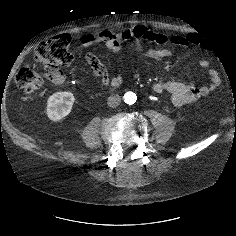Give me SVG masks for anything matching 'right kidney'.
<instances>
[{
	"mask_svg": "<svg viewBox=\"0 0 236 236\" xmlns=\"http://www.w3.org/2000/svg\"><path fill=\"white\" fill-rule=\"evenodd\" d=\"M75 97L73 93L64 91L52 94L47 100L46 113L50 120L59 121L72 110Z\"/></svg>",
	"mask_w": 236,
	"mask_h": 236,
	"instance_id": "right-kidney-1",
	"label": "right kidney"
}]
</instances>
